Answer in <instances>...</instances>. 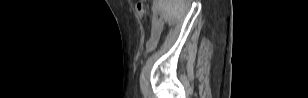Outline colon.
<instances>
[{"instance_id": "1", "label": "colon", "mask_w": 308, "mask_h": 98, "mask_svg": "<svg viewBox=\"0 0 308 98\" xmlns=\"http://www.w3.org/2000/svg\"><path fill=\"white\" fill-rule=\"evenodd\" d=\"M136 10H137L138 15L141 18H145L146 17L147 11H146V8H145V5H144L143 2L139 1V2L136 3Z\"/></svg>"}]
</instances>
